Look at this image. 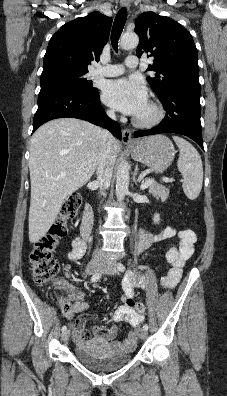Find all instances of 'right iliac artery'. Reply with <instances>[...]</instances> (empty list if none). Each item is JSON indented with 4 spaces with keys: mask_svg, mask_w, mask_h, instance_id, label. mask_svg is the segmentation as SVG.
<instances>
[{
    "mask_svg": "<svg viewBox=\"0 0 227 396\" xmlns=\"http://www.w3.org/2000/svg\"><path fill=\"white\" fill-rule=\"evenodd\" d=\"M101 273L100 272H98V273H95L92 277H91V282H97L100 278H101ZM62 332H65L66 330H67V327L66 326H63L62 327Z\"/></svg>",
    "mask_w": 227,
    "mask_h": 396,
    "instance_id": "obj_1",
    "label": "right iliac artery"
}]
</instances>
